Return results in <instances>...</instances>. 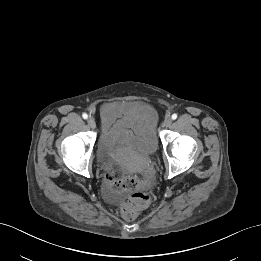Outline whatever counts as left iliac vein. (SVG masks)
<instances>
[{
    "label": "left iliac vein",
    "instance_id": "4c4485c4",
    "mask_svg": "<svg viewBox=\"0 0 261 261\" xmlns=\"http://www.w3.org/2000/svg\"><path fill=\"white\" fill-rule=\"evenodd\" d=\"M163 124H164L165 127H169V126L172 124V119H171V117H166V118L164 119Z\"/></svg>",
    "mask_w": 261,
    "mask_h": 261
}]
</instances>
